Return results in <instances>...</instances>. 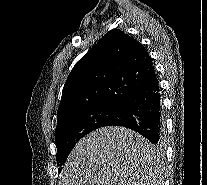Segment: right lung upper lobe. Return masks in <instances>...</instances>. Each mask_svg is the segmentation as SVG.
Returning a JSON list of instances; mask_svg holds the SVG:
<instances>
[{
    "instance_id": "cb5924a9",
    "label": "right lung upper lobe",
    "mask_w": 207,
    "mask_h": 185,
    "mask_svg": "<svg viewBox=\"0 0 207 185\" xmlns=\"http://www.w3.org/2000/svg\"><path fill=\"white\" fill-rule=\"evenodd\" d=\"M156 77L145 47L121 30H110L69 74L57 122L102 104L122 106Z\"/></svg>"
}]
</instances>
